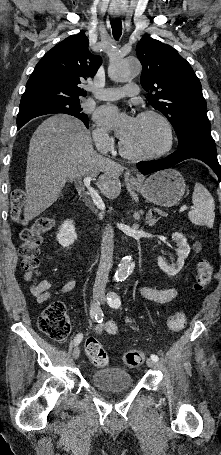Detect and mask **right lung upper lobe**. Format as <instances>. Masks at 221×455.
Masks as SVG:
<instances>
[{"instance_id": "right-lung-upper-lobe-1", "label": "right lung upper lobe", "mask_w": 221, "mask_h": 455, "mask_svg": "<svg viewBox=\"0 0 221 455\" xmlns=\"http://www.w3.org/2000/svg\"><path fill=\"white\" fill-rule=\"evenodd\" d=\"M85 33L72 35L50 51L36 65L21 98L20 108L85 96L81 84L93 77L102 59L89 49Z\"/></svg>"}]
</instances>
